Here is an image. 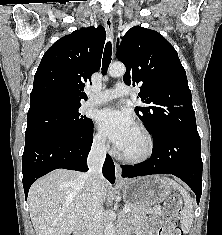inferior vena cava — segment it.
<instances>
[{
	"label": "inferior vena cava",
	"instance_id": "602c4592",
	"mask_svg": "<svg viewBox=\"0 0 222 235\" xmlns=\"http://www.w3.org/2000/svg\"><path fill=\"white\" fill-rule=\"evenodd\" d=\"M105 140L93 142L87 159L89 171L86 176V210L83 216L85 234L103 235V193L101 190L102 166L106 157Z\"/></svg>",
	"mask_w": 222,
	"mask_h": 235
}]
</instances>
